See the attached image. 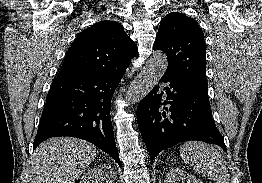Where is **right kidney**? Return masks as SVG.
I'll return each mask as SVG.
<instances>
[{"instance_id":"right-kidney-1","label":"right kidney","mask_w":262,"mask_h":183,"mask_svg":"<svg viewBox=\"0 0 262 183\" xmlns=\"http://www.w3.org/2000/svg\"><path fill=\"white\" fill-rule=\"evenodd\" d=\"M116 177L113 168L110 165H101L89 170L81 178L80 183H115Z\"/></svg>"}]
</instances>
